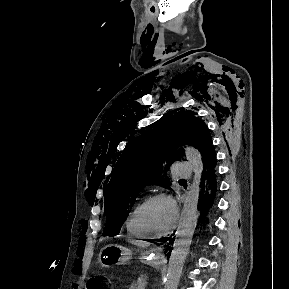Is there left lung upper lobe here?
Listing matches in <instances>:
<instances>
[{
    "instance_id": "obj_1",
    "label": "left lung upper lobe",
    "mask_w": 289,
    "mask_h": 289,
    "mask_svg": "<svg viewBox=\"0 0 289 289\" xmlns=\"http://www.w3.org/2000/svg\"><path fill=\"white\" fill-rule=\"evenodd\" d=\"M141 133L129 140L104 188L106 225L103 236L119 234L144 186L167 187L170 184L166 170L184 154L183 145L197 148L202 161L214 149L206 124L193 111L169 112Z\"/></svg>"
}]
</instances>
